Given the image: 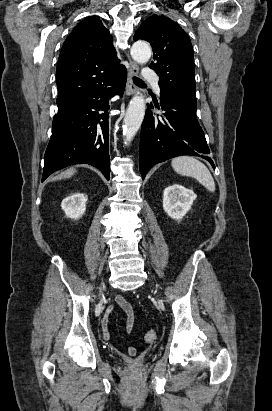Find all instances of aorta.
<instances>
[{"mask_svg":"<svg viewBox=\"0 0 272 411\" xmlns=\"http://www.w3.org/2000/svg\"><path fill=\"white\" fill-rule=\"evenodd\" d=\"M131 56L137 63H146L151 57V48L145 42H135L131 48ZM144 115V96L137 94L131 99L124 118L123 133L126 144L131 142L136 135L142 124Z\"/></svg>","mask_w":272,"mask_h":411,"instance_id":"aorta-1","label":"aorta"}]
</instances>
